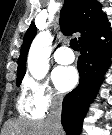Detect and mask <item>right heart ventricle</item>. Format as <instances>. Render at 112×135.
Returning <instances> with one entry per match:
<instances>
[{
  "label": "right heart ventricle",
  "instance_id": "obj_1",
  "mask_svg": "<svg viewBox=\"0 0 112 135\" xmlns=\"http://www.w3.org/2000/svg\"><path fill=\"white\" fill-rule=\"evenodd\" d=\"M17 108L19 113L26 118L40 119L43 116V114L33 106L30 98L24 91H22L18 97Z\"/></svg>",
  "mask_w": 112,
  "mask_h": 135
}]
</instances>
